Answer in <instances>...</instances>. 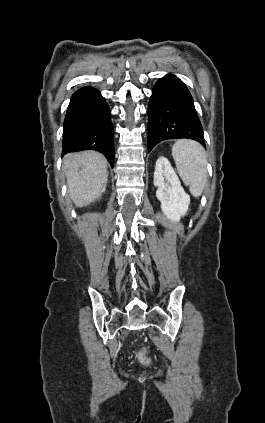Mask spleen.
Here are the masks:
<instances>
[{"label":"spleen","instance_id":"3e777b00","mask_svg":"<svg viewBox=\"0 0 265 423\" xmlns=\"http://www.w3.org/2000/svg\"><path fill=\"white\" fill-rule=\"evenodd\" d=\"M172 155L179 176L194 197H199L207 182L204 148L192 140H178L172 147Z\"/></svg>","mask_w":265,"mask_h":423}]
</instances>
